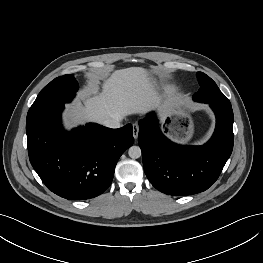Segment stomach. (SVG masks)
<instances>
[{
	"mask_svg": "<svg viewBox=\"0 0 263 263\" xmlns=\"http://www.w3.org/2000/svg\"><path fill=\"white\" fill-rule=\"evenodd\" d=\"M173 126L170 127V130L174 137L182 140H189L192 134V122L190 119V115L187 113L184 107L180 105H175L173 107ZM187 117L189 119V126L187 129H181L178 125V120L181 118Z\"/></svg>",
	"mask_w": 263,
	"mask_h": 263,
	"instance_id": "obj_1",
	"label": "stomach"
}]
</instances>
